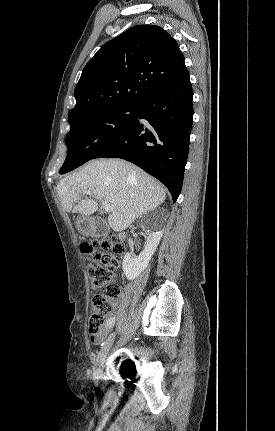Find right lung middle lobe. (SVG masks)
Returning <instances> with one entry per match:
<instances>
[{"instance_id":"right-lung-middle-lobe-1","label":"right lung middle lobe","mask_w":275,"mask_h":431,"mask_svg":"<svg viewBox=\"0 0 275 431\" xmlns=\"http://www.w3.org/2000/svg\"><path fill=\"white\" fill-rule=\"evenodd\" d=\"M136 106H115L89 113L70 124L67 157L59 173L79 167L118 137L135 120Z\"/></svg>"}]
</instances>
